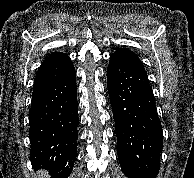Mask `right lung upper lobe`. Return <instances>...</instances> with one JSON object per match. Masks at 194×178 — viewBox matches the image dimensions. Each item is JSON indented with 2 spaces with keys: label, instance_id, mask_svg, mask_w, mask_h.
Here are the masks:
<instances>
[{
  "label": "right lung upper lobe",
  "instance_id": "right-lung-upper-lobe-1",
  "mask_svg": "<svg viewBox=\"0 0 194 178\" xmlns=\"http://www.w3.org/2000/svg\"><path fill=\"white\" fill-rule=\"evenodd\" d=\"M73 69L72 61L65 53H51L41 64L34 79V85L56 81L66 76Z\"/></svg>",
  "mask_w": 194,
  "mask_h": 178
}]
</instances>
